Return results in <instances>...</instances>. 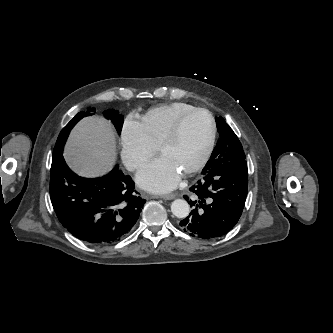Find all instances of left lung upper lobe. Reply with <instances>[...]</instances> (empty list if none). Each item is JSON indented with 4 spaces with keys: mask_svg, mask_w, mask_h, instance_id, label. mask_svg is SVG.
<instances>
[{
    "mask_svg": "<svg viewBox=\"0 0 333 333\" xmlns=\"http://www.w3.org/2000/svg\"><path fill=\"white\" fill-rule=\"evenodd\" d=\"M216 123L220 138L203 169V173H208L223 165L238 164L245 160L242 145L230 126L222 117H217Z\"/></svg>",
    "mask_w": 333,
    "mask_h": 333,
    "instance_id": "5c2ea615",
    "label": "left lung upper lobe"
}]
</instances>
